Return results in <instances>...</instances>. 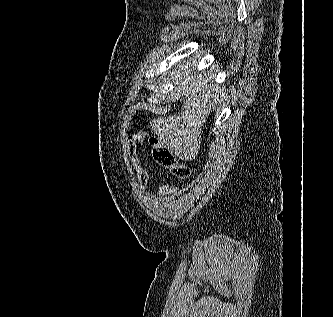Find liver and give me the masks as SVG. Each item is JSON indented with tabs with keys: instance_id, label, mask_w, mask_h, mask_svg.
<instances>
[{
	"instance_id": "6515ba94",
	"label": "liver",
	"mask_w": 333,
	"mask_h": 317,
	"mask_svg": "<svg viewBox=\"0 0 333 317\" xmlns=\"http://www.w3.org/2000/svg\"><path fill=\"white\" fill-rule=\"evenodd\" d=\"M183 96V111L178 115L154 118L150 127L162 146L182 160L191 161L198 155L202 126L222 100L213 86L211 76L194 74L184 77L175 88Z\"/></svg>"
}]
</instances>
